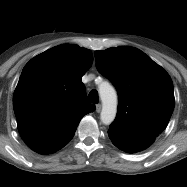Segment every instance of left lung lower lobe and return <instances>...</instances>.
Wrapping results in <instances>:
<instances>
[{
	"label": "left lung lower lobe",
	"mask_w": 187,
	"mask_h": 187,
	"mask_svg": "<svg viewBox=\"0 0 187 187\" xmlns=\"http://www.w3.org/2000/svg\"><path fill=\"white\" fill-rule=\"evenodd\" d=\"M108 134L113 144L116 147L128 153H135L138 151H142L151 145V144H143V145L129 144L127 142V138L132 137L130 135H124V134H119V133H108Z\"/></svg>",
	"instance_id": "0a47b994"
}]
</instances>
